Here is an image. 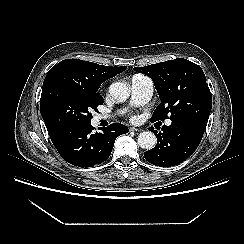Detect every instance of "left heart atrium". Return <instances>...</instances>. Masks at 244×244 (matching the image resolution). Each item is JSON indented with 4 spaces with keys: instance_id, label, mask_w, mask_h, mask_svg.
I'll list each match as a JSON object with an SVG mask.
<instances>
[{
    "instance_id": "1",
    "label": "left heart atrium",
    "mask_w": 244,
    "mask_h": 244,
    "mask_svg": "<svg viewBox=\"0 0 244 244\" xmlns=\"http://www.w3.org/2000/svg\"><path fill=\"white\" fill-rule=\"evenodd\" d=\"M131 120H132V121H136V120H137V117H136V116H132V117H131Z\"/></svg>"
}]
</instances>
